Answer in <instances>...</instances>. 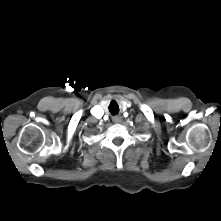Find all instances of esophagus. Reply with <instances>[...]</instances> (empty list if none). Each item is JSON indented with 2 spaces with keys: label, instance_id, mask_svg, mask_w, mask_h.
I'll use <instances>...</instances> for the list:
<instances>
[{
  "label": "esophagus",
  "instance_id": "34e87169",
  "mask_svg": "<svg viewBox=\"0 0 221 221\" xmlns=\"http://www.w3.org/2000/svg\"><path fill=\"white\" fill-rule=\"evenodd\" d=\"M121 120H122V117L119 116V115H115V116L112 117V121L114 123H119V122H121Z\"/></svg>",
  "mask_w": 221,
  "mask_h": 221
}]
</instances>
